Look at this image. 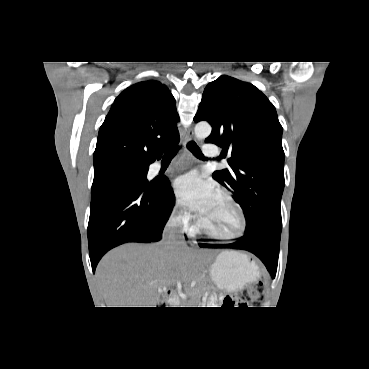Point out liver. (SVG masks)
I'll use <instances>...</instances> for the list:
<instances>
[{
    "instance_id": "obj_1",
    "label": "liver",
    "mask_w": 369,
    "mask_h": 369,
    "mask_svg": "<svg viewBox=\"0 0 369 369\" xmlns=\"http://www.w3.org/2000/svg\"><path fill=\"white\" fill-rule=\"evenodd\" d=\"M205 256L206 252H194L186 245L168 251L163 242L130 243L107 253L96 277L107 307H156L159 289L195 279Z\"/></svg>"
}]
</instances>
